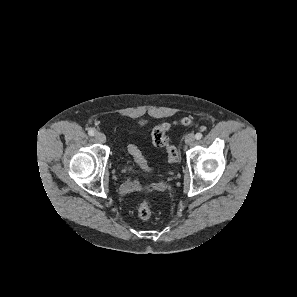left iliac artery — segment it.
Here are the masks:
<instances>
[{"mask_svg":"<svg viewBox=\"0 0 297 297\" xmlns=\"http://www.w3.org/2000/svg\"><path fill=\"white\" fill-rule=\"evenodd\" d=\"M202 136H203L202 133L198 132V133H196L195 138H196L197 140H199V139L202 138Z\"/></svg>","mask_w":297,"mask_h":297,"instance_id":"44dca946","label":"left iliac artery"}]
</instances>
